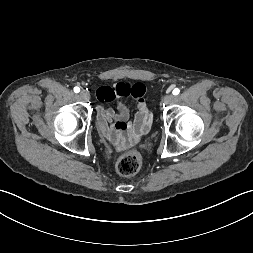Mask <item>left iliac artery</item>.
<instances>
[{"label":"left iliac artery","mask_w":253,"mask_h":253,"mask_svg":"<svg viewBox=\"0 0 253 253\" xmlns=\"http://www.w3.org/2000/svg\"><path fill=\"white\" fill-rule=\"evenodd\" d=\"M179 92H180V90L178 88H175L172 93H173V95H178Z\"/></svg>","instance_id":"44dca946"}]
</instances>
